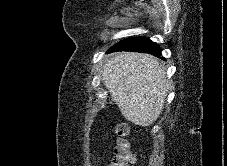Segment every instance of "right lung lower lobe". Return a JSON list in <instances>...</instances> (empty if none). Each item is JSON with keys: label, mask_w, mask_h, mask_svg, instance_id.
I'll list each match as a JSON object with an SVG mask.
<instances>
[{"label": "right lung lower lobe", "mask_w": 227, "mask_h": 166, "mask_svg": "<svg viewBox=\"0 0 227 166\" xmlns=\"http://www.w3.org/2000/svg\"><path fill=\"white\" fill-rule=\"evenodd\" d=\"M116 51L143 52L157 57L161 55L159 46L145 37L130 38L121 41L108 50V52Z\"/></svg>", "instance_id": "right-lung-lower-lobe-1"}]
</instances>
